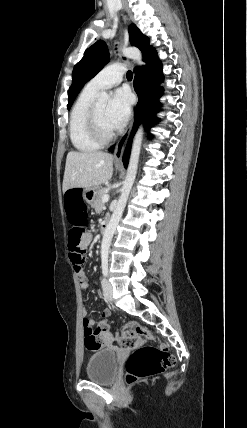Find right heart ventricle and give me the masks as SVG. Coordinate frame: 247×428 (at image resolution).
<instances>
[{
    "label": "right heart ventricle",
    "mask_w": 247,
    "mask_h": 428,
    "mask_svg": "<svg viewBox=\"0 0 247 428\" xmlns=\"http://www.w3.org/2000/svg\"><path fill=\"white\" fill-rule=\"evenodd\" d=\"M99 91L85 87L76 99L69 121V135L73 146L81 152L98 150L102 144L97 142L87 127V117Z\"/></svg>",
    "instance_id": "right-heart-ventricle-1"
}]
</instances>
